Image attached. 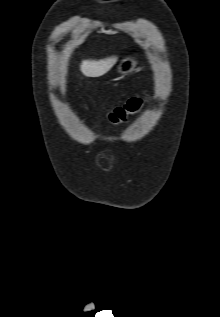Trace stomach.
<instances>
[{
  "instance_id": "stomach-1",
  "label": "stomach",
  "mask_w": 220,
  "mask_h": 317,
  "mask_svg": "<svg viewBox=\"0 0 220 317\" xmlns=\"http://www.w3.org/2000/svg\"><path fill=\"white\" fill-rule=\"evenodd\" d=\"M136 64V59L132 56H128L119 62L117 72L121 75H128L135 70Z\"/></svg>"
}]
</instances>
